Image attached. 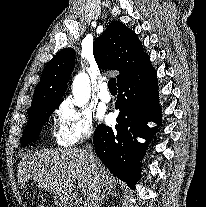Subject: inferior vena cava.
<instances>
[{
    "instance_id": "obj_1",
    "label": "inferior vena cava",
    "mask_w": 206,
    "mask_h": 207,
    "mask_svg": "<svg viewBox=\"0 0 206 207\" xmlns=\"http://www.w3.org/2000/svg\"><path fill=\"white\" fill-rule=\"evenodd\" d=\"M85 151L88 155L89 161L91 163V166L97 169V160H96V156L93 152V147L91 144L87 143L85 146ZM96 186H95V192L93 194L92 199H90L88 201V207H100V193H101V186L97 185V182H95Z\"/></svg>"
}]
</instances>
